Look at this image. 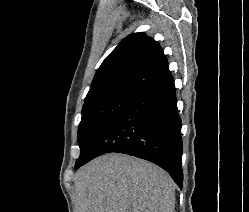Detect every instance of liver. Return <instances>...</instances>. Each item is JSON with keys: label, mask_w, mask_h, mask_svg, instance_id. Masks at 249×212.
<instances>
[{"label": "liver", "mask_w": 249, "mask_h": 212, "mask_svg": "<svg viewBox=\"0 0 249 212\" xmlns=\"http://www.w3.org/2000/svg\"><path fill=\"white\" fill-rule=\"evenodd\" d=\"M74 180L76 212H175L172 178L134 156H99Z\"/></svg>", "instance_id": "obj_1"}]
</instances>
